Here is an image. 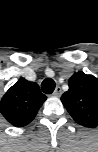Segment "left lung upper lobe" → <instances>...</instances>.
<instances>
[{"mask_svg":"<svg viewBox=\"0 0 98 152\" xmlns=\"http://www.w3.org/2000/svg\"><path fill=\"white\" fill-rule=\"evenodd\" d=\"M61 101L72 118L80 125L98 126V79L83 72L74 73Z\"/></svg>","mask_w":98,"mask_h":152,"instance_id":"obj_1","label":"left lung upper lobe"}]
</instances>
